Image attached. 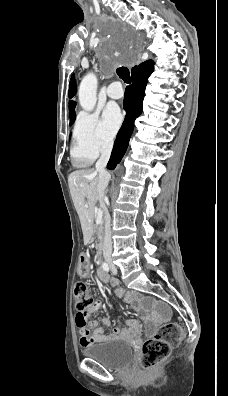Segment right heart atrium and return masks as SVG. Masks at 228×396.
<instances>
[{
	"instance_id": "1",
	"label": "right heart atrium",
	"mask_w": 228,
	"mask_h": 396,
	"mask_svg": "<svg viewBox=\"0 0 228 396\" xmlns=\"http://www.w3.org/2000/svg\"><path fill=\"white\" fill-rule=\"evenodd\" d=\"M73 156L79 162H91L113 147V137L95 113H81L74 124Z\"/></svg>"
}]
</instances>
